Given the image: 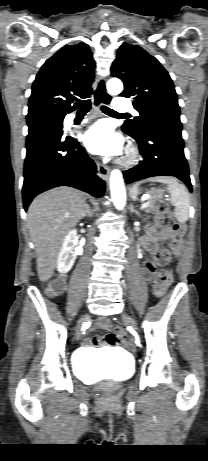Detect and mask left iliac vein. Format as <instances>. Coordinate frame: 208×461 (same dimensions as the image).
<instances>
[{"instance_id": "obj_1", "label": "left iliac vein", "mask_w": 208, "mask_h": 461, "mask_svg": "<svg viewBox=\"0 0 208 461\" xmlns=\"http://www.w3.org/2000/svg\"><path fill=\"white\" fill-rule=\"evenodd\" d=\"M122 318H123V320L125 322L131 324L134 328H136V326H137L136 322L134 321V319L131 316H129L128 314L125 313V314L122 315Z\"/></svg>"}]
</instances>
